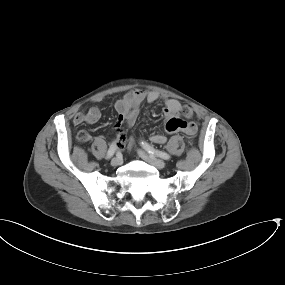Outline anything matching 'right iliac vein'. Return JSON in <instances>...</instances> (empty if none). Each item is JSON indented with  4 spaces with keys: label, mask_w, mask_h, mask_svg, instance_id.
<instances>
[{
    "label": "right iliac vein",
    "mask_w": 285,
    "mask_h": 285,
    "mask_svg": "<svg viewBox=\"0 0 285 285\" xmlns=\"http://www.w3.org/2000/svg\"><path fill=\"white\" fill-rule=\"evenodd\" d=\"M121 163H122V160L119 157H115L111 160V165L114 167L121 165Z\"/></svg>",
    "instance_id": "right-iliac-vein-1"
}]
</instances>
